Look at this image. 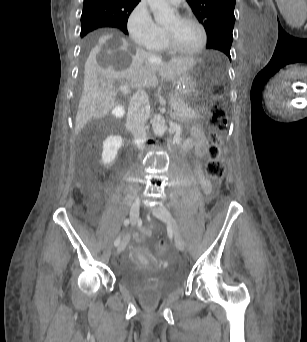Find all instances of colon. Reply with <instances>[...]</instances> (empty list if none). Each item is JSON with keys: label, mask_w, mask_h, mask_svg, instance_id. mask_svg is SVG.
Listing matches in <instances>:
<instances>
[{"label": "colon", "mask_w": 307, "mask_h": 342, "mask_svg": "<svg viewBox=\"0 0 307 342\" xmlns=\"http://www.w3.org/2000/svg\"><path fill=\"white\" fill-rule=\"evenodd\" d=\"M210 94L215 92L213 87L208 89ZM214 98H220L221 94H228V87H217ZM210 125L213 131L210 135L211 144L208 147V160L206 162V174L213 180H220L224 175V165L220 159L222 139L219 135L228 126V118L221 105L215 104L209 110ZM159 253L167 252V243L162 240L158 243Z\"/></svg>", "instance_id": "5ec220e1"}]
</instances>
